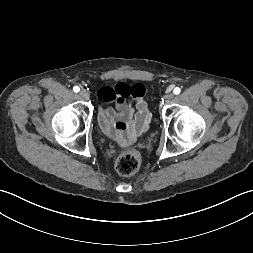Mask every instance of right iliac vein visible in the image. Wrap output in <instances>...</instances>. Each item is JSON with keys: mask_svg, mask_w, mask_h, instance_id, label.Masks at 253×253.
<instances>
[{"mask_svg": "<svg viewBox=\"0 0 253 253\" xmlns=\"http://www.w3.org/2000/svg\"><path fill=\"white\" fill-rule=\"evenodd\" d=\"M79 96L84 99V100H88L89 97H90V94L87 90L85 89H81L80 92H79Z\"/></svg>", "mask_w": 253, "mask_h": 253, "instance_id": "right-iliac-vein-1", "label": "right iliac vein"}]
</instances>
